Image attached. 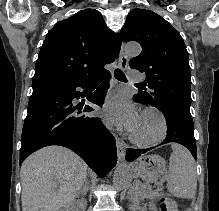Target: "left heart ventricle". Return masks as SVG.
<instances>
[{"label": "left heart ventricle", "mask_w": 219, "mask_h": 211, "mask_svg": "<svg viewBox=\"0 0 219 211\" xmlns=\"http://www.w3.org/2000/svg\"><path fill=\"white\" fill-rule=\"evenodd\" d=\"M160 127V120L155 114H146L139 117L137 125L134 128V133L143 137L155 135Z\"/></svg>", "instance_id": "1"}]
</instances>
